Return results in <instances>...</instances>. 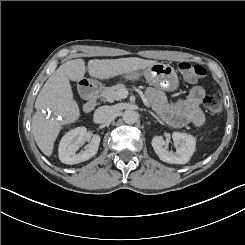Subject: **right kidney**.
I'll return each mask as SVG.
<instances>
[{
    "instance_id": "obj_1",
    "label": "right kidney",
    "mask_w": 245,
    "mask_h": 245,
    "mask_svg": "<svg viewBox=\"0 0 245 245\" xmlns=\"http://www.w3.org/2000/svg\"><path fill=\"white\" fill-rule=\"evenodd\" d=\"M86 133V127L79 126L69 130L63 135L58 145V157L62 163H80L88 160L97 153L100 137L96 135L91 139V142L86 145L84 150L78 152L83 145Z\"/></svg>"
}]
</instances>
